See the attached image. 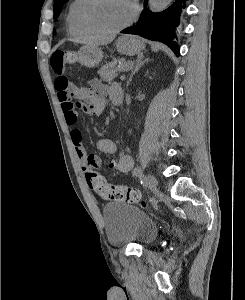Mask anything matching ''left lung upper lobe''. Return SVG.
Segmentation results:
<instances>
[{"label": "left lung upper lobe", "instance_id": "5c2ea615", "mask_svg": "<svg viewBox=\"0 0 245 300\" xmlns=\"http://www.w3.org/2000/svg\"><path fill=\"white\" fill-rule=\"evenodd\" d=\"M65 1H68V0H55V3H54V19L58 18Z\"/></svg>", "mask_w": 245, "mask_h": 300}]
</instances>
